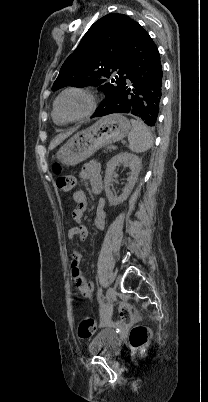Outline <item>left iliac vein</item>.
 <instances>
[{
  "mask_svg": "<svg viewBox=\"0 0 208 402\" xmlns=\"http://www.w3.org/2000/svg\"><path fill=\"white\" fill-rule=\"evenodd\" d=\"M115 297H116V292H115L114 288L109 287L107 292H106V301H107V303H109V304L112 303L113 300L115 299Z\"/></svg>",
  "mask_w": 208,
  "mask_h": 402,
  "instance_id": "left-iliac-vein-1",
  "label": "left iliac vein"
}]
</instances>
